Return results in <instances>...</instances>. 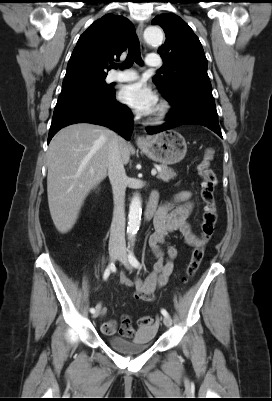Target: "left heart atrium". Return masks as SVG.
I'll return each mask as SVG.
<instances>
[{
  "instance_id": "1",
  "label": "left heart atrium",
  "mask_w": 272,
  "mask_h": 401,
  "mask_svg": "<svg viewBox=\"0 0 272 401\" xmlns=\"http://www.w3.org/2000/svg\"><path fill=\"white\" fill-rule=\"evenodd\" d=\"M119 99L140 115L152 113L157 104L155 92L142 82L123 86L119 92Z\"/></svg>"
}]
</instances>
